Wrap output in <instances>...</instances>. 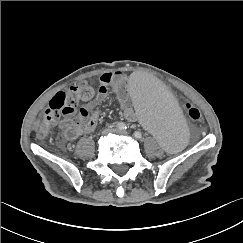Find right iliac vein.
Wrapping results in <instances>:
<instances>
[{
	"label": "right iliac vein",
	"mask_w": 243,
	"mask_h": 243,
	"mask_svg": "<svg viewBox=\"0 0 243 243\" xmlns=\"http://www.w3.org/2000/svg\"><path fill=\"white\" fill-rule=\"evenodd\" d=\"M113 131H114L113 128H111V127H107V128H104V129L102 130V134H103V135H108L109 133H111V132H113Z\"/></svg>",
	"instance_id": "1"
}]
</instances>
